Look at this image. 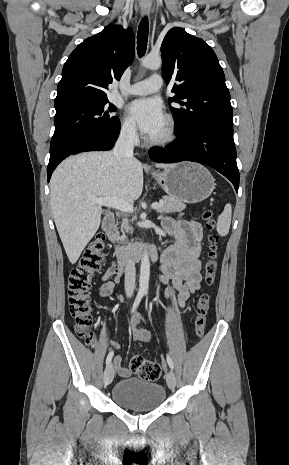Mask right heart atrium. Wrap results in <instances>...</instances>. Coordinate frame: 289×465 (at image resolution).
<instances>
[{
    "instance_id": "obj_1",
    "label": "right heart atrium",
    "mask_w": 289,
    "mask_h": 465,
    "mask_svg": "<svg viewBox=\"0 0 289 465\" xmlns=\"http://www.w3.org/2000/svg\"><path fill=\"white\" fill-rule=\"evenodd\" d=\"M120 136L128 142H135L138 138L136 125L128 116H125L121 121Z\"/></svg>"
}]
</instances>
